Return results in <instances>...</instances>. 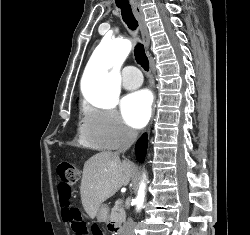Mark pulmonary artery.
I'll return each instance as SVG.
<instances>
[{
	"label": "pulmonary artery",
	"mask_w": 250,
	"mask_h": 235,
	"mask_svg": "<svg viewBox=\"0 0 250 235\" xmlns=\"http://www.w3.org/2000/svg\"><path fill=\"white\" fill-rule=\"evenodd\" d=\"M143 82L142 76L134 66H127L122 73V85L125 89H136Z\"/></svg>",
	"instance_id": "obj_1"
}]
</instances>
